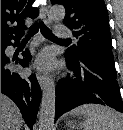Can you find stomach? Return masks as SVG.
Returning <instances> with one entry per match:
<instances>
[{"mask_svg":"<svg viewBox=\"0 0 123 130\" xmlns=\"http://www.w3.org/2000/svg\"><path fill=\"white\" fill-rule=\"evenodd\" d=\"M68 125L71 127V128H74L75 127V124L73 122H68Z\"/></svg>","mask_w":123,"mask_h":130,"instance_id":"obj_1","label":"stomach"}]
</instances>
